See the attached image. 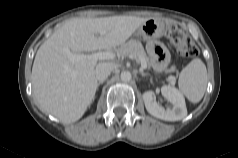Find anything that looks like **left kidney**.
Wrapping results in <instances>:
<instances>
[{
	"label": "left kidney",
	"instance_id": "1",
	"mask_svg": "<svg viewBox=\"0 0 238 158\" xmlns=\"http://www.w3.org/2000/svg\"><path fill=\"white\" fill-rule=\"evenodd\" d=\"M162 95L173 105L171 109L160 106L153 98L152 91L143 93L146 110L156 118L165 121H178L187 116L185 99L175 87L164 85L161 87Z\"/></svg>",
	"mask_w": 238,
	"mask_h": 158
}]
</instances>
